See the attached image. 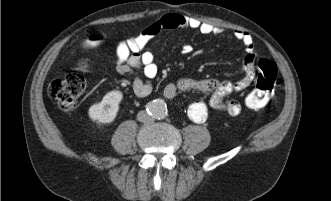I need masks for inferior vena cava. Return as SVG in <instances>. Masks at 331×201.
<instances>
[{
  "mask_svg": "<svg viewBox=\"0 0 331 201\" xmlns=\"http://www.w3.org/2000/svg\"><path fill=\"white\" fill-rule=\"evenodd\" d=\"M137 119L140 122H151L153 121V116H151L149 113L143 110L138 112Z\"/></svg>",
  "mask_w": 331,
  "mask_h": 201,
  "instance_id": "602c4592",
  "label": "inferior vena cava"
}]
</instances>
